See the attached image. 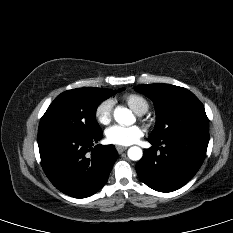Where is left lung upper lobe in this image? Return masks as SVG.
I'll list each match as a JSON object with an SVG mask.
<instances>
[{
	"label": "left lung upper lobe",
	"instance_id": "5c2ea615",
	"mask_svg": "<svg viewBox=\"0 0 233 233\" xmlns=\"http://www.w3.org/2000/svg\"><path fill=\"white\" fill-rule=\"evenodd\" d=\"M135 90L155 105L157 120L149 138L161 140L188 132L209 133L204 106L188 89L170 84H144Z\"/></svg>",
	"mask_w": 233,
	"mask_h": 233
}]
</instances>
